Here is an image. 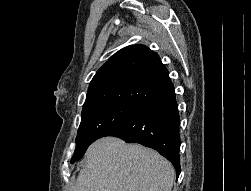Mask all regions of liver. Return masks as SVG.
I'll return each instance as SVG.
<instances>
[{
  "label": "liver",
  "mask_w": 251,
  "mask_h": 191,
  "mask_svg": "<svg viewBox=\"0 0 251 191\" xmlns=\"http://www.w3.org/2000/svg\"><path fill=\"white\" fill-rule=\"evenodd\" d=\"M74 191H171L174 167L158 151L119 137L89 145Z\"/></svg>",
  "instance_id": "6515ba94"
}]
</instances>
